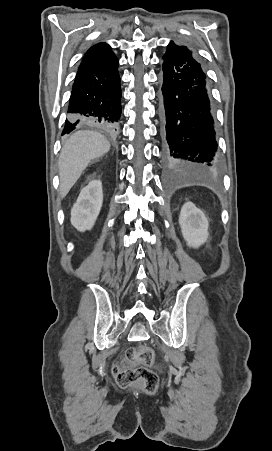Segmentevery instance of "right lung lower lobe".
Listing matches in <instances>:
<instances>
[{"mask_svg":"<svg viewBox=\"0 0 272 451\" xmlns=\"http://www.w3.org/2000/svg\"><path fill=\"white\" fill-rule=\"evenodd\" d=\"M120 100L115 54L111 51L83 59L72 87L62 134L70 133L79 125H92L116 133L120 125Z\"/></svg>","mask_w":272,"mask_h":451,"instance_id":"1","label":"right lung lower lobe"}]
</instances>
